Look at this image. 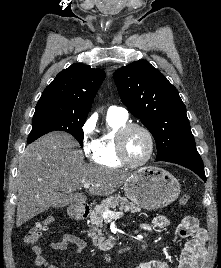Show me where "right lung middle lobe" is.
I'll return each instance as SVG.
<instances>
[{
	"label": "right lung middle lobe",
	"instance_id": "dd1d6c3e",
	"mask_svg": "<svg viewBox=\"0 0 221 268\" xmlns=\"http://www.w3.org/2000/svg\"><path fill=\"white\" fill-rule=\"evenodd\" d=\"M87 116L58 110L35 111L28 141L33 142L51 131H64L73 135L83 146V130Z\"/></svg>",
	"mask_w": 221,
	"mask_h": 268
}]
</instances>
